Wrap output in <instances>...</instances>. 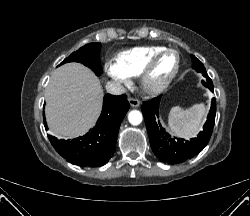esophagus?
Here are the masks:
<instances>
[{"label": "esophagus", "instance_id": "1", "mask_svg": "<svg viewBox=\"0 0 250 216\" xmlns=\"http://www.w3.org/2000/svg\"><path fill=\"white\" fill-rule=\"evenodd\" d=\"M129 103H130L131 107H134V108H137V107L140 106V101L138 99H136V98L130 97L129 98Z\"/></svg>", "mask_w": 250, "mask_h": 216}]
</instances>
